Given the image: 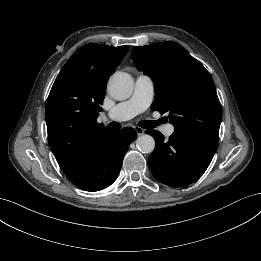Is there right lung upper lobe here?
Returning a JSON list of instances; mask_svg holds the SVG:
<instances>
[{
    "label": "right lung upper lobe",
    "mask_w": 261,
    "mask_h": 261,
    "mask_svg": "<svg viewBox=\"0 0 261 261\" xmlns=\"http://www.w3.org/2000/svg\"><path fill=\"white\" fill-rule=\"evenodd\" d=\"M128 46L86 44L58 74L45 108L48 140L66 176L83 166L109 132L97 122L109 76Z\"/></svg>",
    "instance_id": "1"
}]
</instances>
